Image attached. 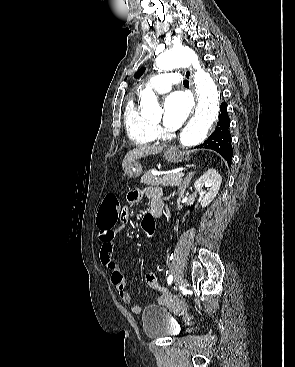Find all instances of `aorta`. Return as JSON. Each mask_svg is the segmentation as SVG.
Wrapping results in <instances>:
<instances>
[{
	"label": "aorta",
	"mask_w": 295,
	"mask_h": 367,
	"mask_svg": "<svg viewBox=\"0 0 295 367\" xmlns=\"http://www.w3.org/2000/svg\"><path fill=\"white\" fill-rule=\"evenodd\" d=\"M156 65L161 70L193 65L196 69L194 84L198 97V104L194 116L183 128L180 143L185 147L196 146L202 143L214 124L219 112V90L209 73H206L199 64L196 54L189 48L173 47L157 57ZM141 115L151 117L160 115L162 109L155 94L146 89L141 96Z\"/></svg>",
	"instance_id": "1"
}]
</instances>
